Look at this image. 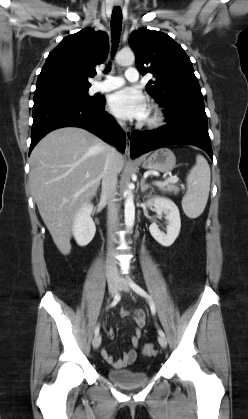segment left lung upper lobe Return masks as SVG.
Masks as SVG:
<instances>
[{
    "mask_svg": "<svg viewBox=\"0 0 248 419\" xmlns=\"http://www.w3.org/2000/svg\"><path fill=\"white\" fill-rule=\"evenodd\" d=\"M129 45L135 52L139 72L153 74L146 90L165 108L164 112L204 105L192 62L170 36L142 28L130 35Z\"/></svg>",
    "mask_w": 248,
    "mask_h": 419,
    "instance_id": "5c2ea615",
    "label": "left lung upper lobe"
}]
</instances>
